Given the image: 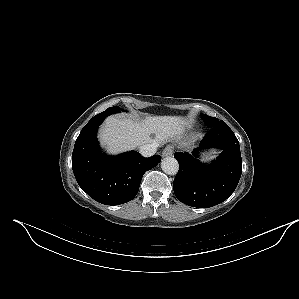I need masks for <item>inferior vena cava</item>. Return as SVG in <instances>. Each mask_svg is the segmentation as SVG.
I'll use <instances>...</instances> for the list:
<instances>
[{"instance_id":"1","label":"inferior vena cava","mask_w":299,"mask_h":299,"mask_svg":"<svg viewBox=\"0 0 299 299\" xmlns=\"http://www.w3.org/2000/svg\"><path fill=\"white\" fill-rule=\"evenodd\" d=\"M157 147L155 143L144 144L139 147V152L142 156L149 157L156 153Z\"/></svg>"}]
</instances>
